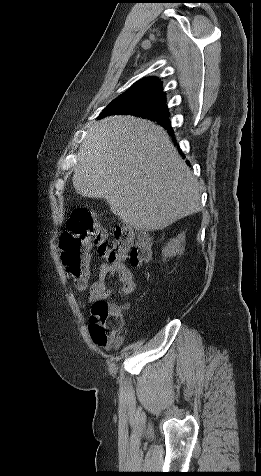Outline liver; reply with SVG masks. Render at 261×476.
<instances>
[{
    "label": "liver",
    "mask_w": 261,
    "mask_h": 476,
    "mask_svg": "<svg viewBox=\"0 0 261 476\" xmlns=\"http://www.w3.org/2000/svg\"><path fill=\"white\" fill-rule=\"evenodd\" d=\"M76 192L103 198L124 223L162 230L200 211L197 179L163 128L133 116L94 122L80 145Z\"/></svg>",
    "instance_id": "1"
}]
</instances>
